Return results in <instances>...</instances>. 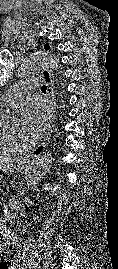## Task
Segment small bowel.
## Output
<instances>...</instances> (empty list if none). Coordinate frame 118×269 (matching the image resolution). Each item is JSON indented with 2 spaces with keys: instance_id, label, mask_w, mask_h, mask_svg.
<instances>
[{
  "instance_id": "1",
  "label": "small bowel",
  "mask_w": 118,
  "mask_h": 269,
  "mask_svg": "<svg viewBox=\"0 0 118 269\" xmlns=\"http://www.w3.org/2000/svg\"><path fill=\"white\" fill-rule=\"evenodd\" d=\"M1 229L3 231V237L1 240L3 246H11L17 243V237L8 229L6 222L1 224Z\"/></svg>"
}]
</instances>
